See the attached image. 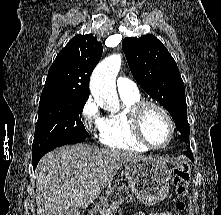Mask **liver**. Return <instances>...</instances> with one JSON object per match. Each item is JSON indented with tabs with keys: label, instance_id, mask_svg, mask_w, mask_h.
<instances>
[{
	"label": "liver",
	"instance_id": "liver-1",
	"mask_svg": "<svg viewBox=\"0 0 221 215\" xmlns=\"http://www.w3.org/2000/svg\"><path fill=\"white\" fill-rule=\"evenodd\" d=\"M146 158L85 144L46 154L35 171L37 215H64L71 207L86 208L111 183L122 164Z\"/></svg>",
	"mask_w": 221,
	"mask_h": 215
}]
</instances>
